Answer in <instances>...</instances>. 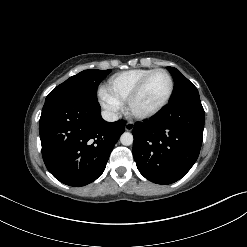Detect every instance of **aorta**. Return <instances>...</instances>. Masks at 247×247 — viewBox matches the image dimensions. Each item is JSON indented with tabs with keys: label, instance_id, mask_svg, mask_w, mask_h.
Wrapping results in <instances>:
<instances>
[{
	"label": "aorta",
	"instance_id": "1",
	"mask_svg": "<svg viewBox=\"0 0 247 247\" xmlns=\"http://www.w3.org/2000/svg\"><path fill=\"white\" fill-rule=\"evenodd\" d=\"M133 140V135L129 132H124L120 137L121 143L125 146L132 145Z\"/></svg>",
	"mask_w": 247,
	"mask_h": 247
}]
</instances>
